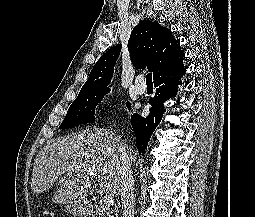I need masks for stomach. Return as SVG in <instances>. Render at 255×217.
<instances>
[{
	"instance_id": "stomach-1",
	"label": "stomach",
	"mask_w": 255,
	"mask_h": 217,
	"mask_svg": "<svg viewBox=\"0 0 255 217\" xmlns=\"http://www.w3.org/2000/svg\"><path fill=\"white\" fill-rule=\"evenodd\" d=\"M66 210L75 217H82L88 212V202L84 200L67 204Z\"/></svg>"
}]
</instances>
